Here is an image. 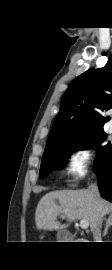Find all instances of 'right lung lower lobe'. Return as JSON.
Masks as SVG:
<instances>
[{
    "label": "right lung lower lobe",
    "mask_w": 112,
    "mask_h": 270,
    "mask_svg": "<svg viewBox=\"0 0 112 270\" xmlns=\"http://www.w3.org/2000/svg\"><path fill=\"white\" fill-rule=\"evenodd\" d=\"M100 194L112 202V148L106 154L101 166L96 169Z\"/></svg>",
    "instance_id": "right-lung-lower-lobe-1"
}]
</instances>
